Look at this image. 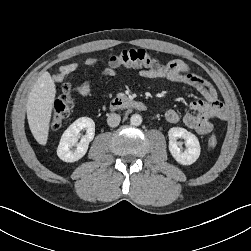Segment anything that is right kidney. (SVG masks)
Masks as SVG:
<instances>
[{
    "mask_svg": "<svg viewBox=\"0 0 251 251\" xmlns=\"http://www.w3.org/2000/svg\"><path fill=\"white\" fill-rule=\"evenodd\" d=\"M86 134L80 138V131ZM95 135V123L89 117H81L74 121L63 133L57 148L58 157L65 162H76L87 152L89 143Z\"/></svg>",
    "mask_w": 251,
    "mask_h": 251,
    "instance_id": "ca27d5eb",
    "label": "right kidney"
}]
</instances>
